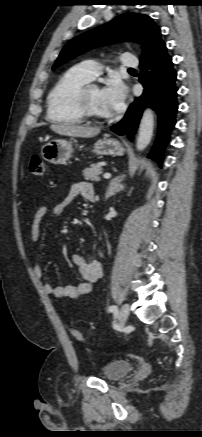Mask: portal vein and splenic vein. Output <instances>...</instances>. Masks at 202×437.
Wrapping results in <instances>:
<instances>
[{
	"instance_id": "18ae733b",
	"label": "portal vein and splenic vein",
	"mask_w": 202,
	"mask_h": 437,
	"mask_svg": "<svg viewBox=\"0 0 202 437\" xmlns=\"http://www.w3.org/2000/svg\"><path fill=\"white\" fill-rule=\"evenodd\" d=\"M103 177H104L105 179H109V178H111V174H110V173H105V174L103 175Z\"/></svg>"
}]
</instances>
